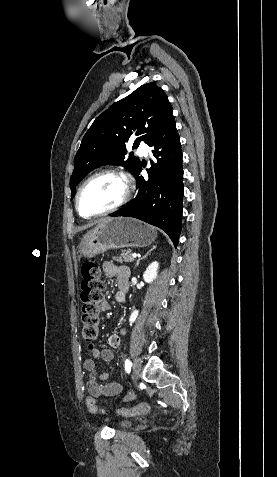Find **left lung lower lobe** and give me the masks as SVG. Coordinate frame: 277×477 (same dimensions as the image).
I'll list each match as a JSON object with an SVG mask.
<instances>
[{
  "mask_svg": "<svg viewBox=\"0 0 277 477\" xmlns=\"http://www.w3.org/2000/svg\"><path fill=\"white\" fill-rule=\"evenodd\" d=\"M157 163L148 169V179L134 174L137 195L124 209L110 216L134 217L164 230L175 247L181 231L183 168L180 137L174 117L147 143Z\"/></svg>",
  "mask_w": 277,
  "mask_h": 477,
  "instance_id": "obj_1",
  "label": "left lung lower lobe"
}]
</instances>
